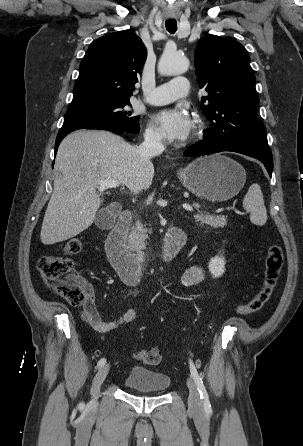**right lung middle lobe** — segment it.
I'll list each match as a JSON object with an SVG mask.
<instances>
[{
  "mask_svg": "<svg viewBox=\"0 0 303 446\" xmlns=\"http://www.w3.org/2000/svg\"><path fill=\"white\" fill-rule=\"evenodd\" d=\"M127 105L131 106L129 100L67 110L62 129L83 121L101 120L117 124L130 133H138L140 131L138 117L123 110Z\"/></svg>",
  "mask_w": 303,
  "mask_h": 446,
  "instance_id": "obj_1",
  "label": "right lung middle lobe"
}]
</instances>
